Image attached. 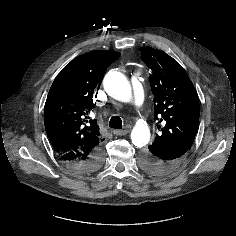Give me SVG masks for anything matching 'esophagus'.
<instances>
[{"mask_svg": "<svg viewBox=\"0 0 236 236\" xmlns=\"http://www.w3.org/2000/svg\"><path fill=\"white\" fill-rule=\"evenodd\" d=\"M128 133L127 130H115L114 134L118 135V136H124Z\"/></svg>", "mask_w": 236, "mask_h": 236, "instance_id": "34e87169", "label": "esophagus"}]
</instances>
